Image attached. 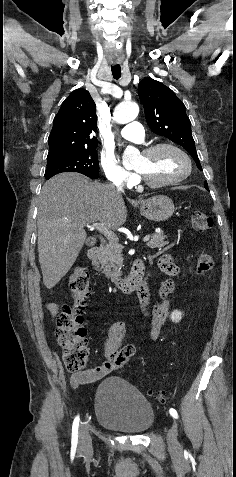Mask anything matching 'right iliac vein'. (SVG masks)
Returning <instances> with one entry per match:
<instances>
[{
    "mask_svg": "<svg viewBox=\"0 0 236 477\" xmlns=\"http://www.w3.org/2000/svg\"><path fill=\"white\" fill-rule=\"evenodd\" d=\"M91 448V436L84 425L79 427V444L78 450L80 452H87Z\"/></svg>",
    "mask_w": 236,
    "mask_h": 477,
    "instance_id": "1",
    "label": "right iliac vein"
}]
</instances>
